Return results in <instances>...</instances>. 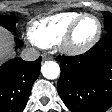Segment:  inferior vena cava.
<instances>
[{
  "label": "inferior vena cava",
  "instance_id": "602c4592",
  "mask_svg": "<svg viewBox=\"0 0 112 112\" xmlns=\"http://www.w3.org/2000/svg\"><path fill=\"white\" fill-rule=\"evenodd\" d=\"M40 53L35 48H26L21 53V58L26 61H34L38 59Z\"/></svg>",
  "mask_w": 112,
  "mask_h": 112
}]
</instances>
